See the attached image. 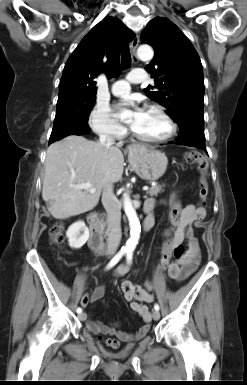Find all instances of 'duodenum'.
Masks as SVG:
<instances>
[{"label":"duodenum","mask_w":247,"mask_h":385,"mask_svg":"<svg viewBox=\"0 0 247 385\" xmlns=\"http://www.w3.org/2000/svg\"><path fill=\"white\" fill-rule=\"evenodd\" d=\"M88 223L90 226V235L88 244L89 246L97 251L101 252L104 249V241H103V229L102 224L99 221L96 213L91 212L88 215ZM154 226V216L148 215L143 224V228L145 231H149Z\"/></svg>","instance_id":"410a0bca"}]
</instances>
